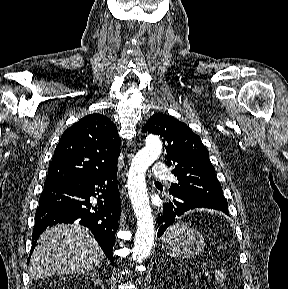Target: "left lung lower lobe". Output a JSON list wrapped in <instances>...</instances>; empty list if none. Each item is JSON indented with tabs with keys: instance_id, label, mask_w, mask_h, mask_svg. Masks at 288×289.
<instances>
[{
	"instance_id": "left-lung-lower-lobe-1",
	"label": "left lung lower lobe",
	"mask_w": 288,
	"mask_h": 289,
	"mask_svg": "<svg viewBox=\"0 0 288 289\" xmlns=\"http://www.w3.org/2000/svg\"><path fill=\"white\" fill-rule=\"evenodd\" d=\"M198 208L214 209L229 215L228 211L223 210L222 208L207 201L195 198L175 197V199L169 200V203L163 206V213L161 215L158 214L159 229L157 236L160 237L166 231V229L174 223L178 216L182 215L188 210Z\"/></svg>"
}]
</instances>
